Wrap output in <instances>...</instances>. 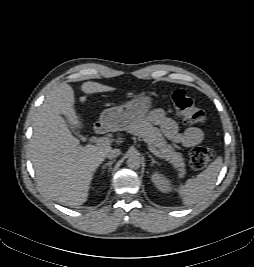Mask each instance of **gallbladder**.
Returning <instances> with one entry per match:
<instances>
[{"label":"gallbladder","instance_id":"obj_1","mask_svg":"<svg viewBox=\"0 0 254 267\" xmlns=\"http://www.w3.org/2000/svg\"><path fill=\"white\" fill-rule=\"evenodd\" d=\"M67 123L69 124L70 128L72 129V131L77 134L79 137H81V135L75 130V128L70 124L69 121H67Z\"/></svg>","mask_w":254,"mask_h":267}]
</instances>
